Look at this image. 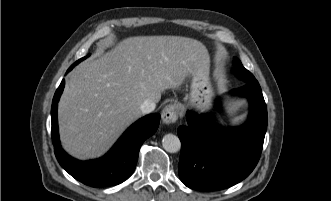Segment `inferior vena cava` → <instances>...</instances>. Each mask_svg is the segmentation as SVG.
<instances>
[{"label": "inferior vena cava", "instance_id": "obj_1", "mask_svg": "<svg viewBox=\"0 0 331 201\" xmlns=\"http://www.w3.org/2000/svg\"><path fill=\"white\" fill-rule=\"evenodd\" d=\"M156 107V104L155 102H153L152 100L150 99H146L140 106V109H141V112L143 114H148V113H151L152 111H154Z\"/></svg>", "mask_w": 331, "mask_h": 201}]
</instances>
